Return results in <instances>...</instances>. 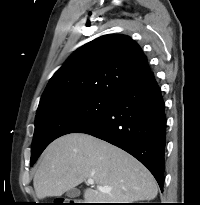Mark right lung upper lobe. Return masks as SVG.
I'll return each mask as SVG.
<instances>
[{
    "mask_svg": "<svg viewBox=\"0 0 200 205\" xmlns=\"http://www.w3.org/2000/svg\"><path fill=\"white\" fill-rule=\"evenodd\" d=\"M151 71L139 45L125 35H104L77 49L49 81L38 111L86 95L115 98Z\"/></svg>",
    "mask_w": 200,
    "mask_h": 205,
    "instance_id": "right-lung-upper-lobe-1",
    "label": "right lung upper lobe"
}]
</instances>
